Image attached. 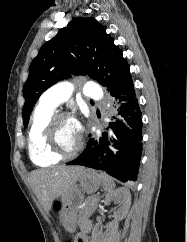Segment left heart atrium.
Here are the masks:
<instances>
[{
    "label": "left heart atrium",
    "instance_id": "left-heart-atrium-1",
    "mask_svg": "<svg viewBox=\"0 0 187 242\" xmlns=\"http://www.w3.org/2000/svg\"><path fill=\"white\" fill-rule=\"evenodd\" d=\"M74 125H75L77 131L79 132V130H80V126H79V124H78L77 122H74Z\"/></svg>",
    "mask_w": 187,
    "mask_h": 242
}]
</instances>
